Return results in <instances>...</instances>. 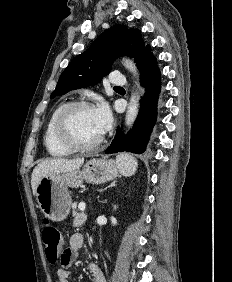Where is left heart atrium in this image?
<instances>
[{"label": "left heart atrium", "mask_w": 232, "mask_h": 282, "mask_svg": "<svg viewBox=\"0 0 232 282\" xmlns=\"http://www.w3.org/2000/svg\"><path fill=\"white\" fill-rule=\"evenodd\" d=\"M94 116L101 133H105L112 124V115L107 104L99 103L94 108Z\"/></svg>", "instance_id": "left-heart-atrium-1"}]
</instances>
